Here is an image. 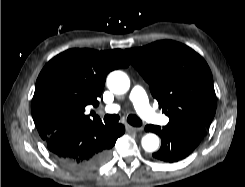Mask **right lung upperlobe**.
Instances as JSON below:
<instances>
[{
    "label": "right lung upper lobe",
    "mask_w": 245,
    "mask_h": 187,
    "mask_svg": "<svg viewBox=\"0 0 245 187\" xmlns=\"http://www.w3.org/2000/svg\"><path fill=\"white\" fill-rule=\"evenodd\" d=\"M120 49H70L52 58L40 72L32 100V116L43 140L55 132L100 122L85 107H97L107 74L127 67Z\"/></svg>",
    "instance_id": "right-lung-upper-lobe-1"
}]
</instances>
